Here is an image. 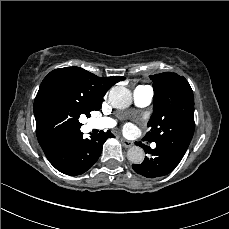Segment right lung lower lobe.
<instances>
[{
	"label": "right lung lower lobe",
	"instance_id": "obj_1",
	"mask_svg": "<svg viewBox=\"0 0 229 229\" xmlns=\"http://www.w3.org/2000/svg\"><path fill=\"white\" fill-rule=\"evenodd\" d=\"M110 137H114L110 131H101L91 139H84L79 130L59 141L46 157L58 171L72 176L80 175L97 161L103 143Z\"/></svg>",
	"mask_w": 229,
	"mask_h": 229
}]
</instances>
